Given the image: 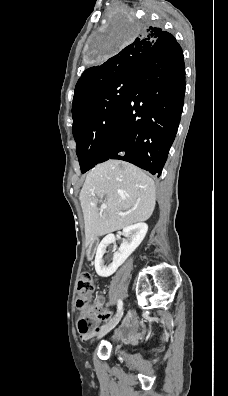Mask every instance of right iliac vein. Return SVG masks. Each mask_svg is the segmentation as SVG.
I'll return each instance as SVG.
<instances>
[{
    "label": "right iliac vein",
    "mask_w": 228,
    "mask_h": 396,
    "mask_svg": "<svg viewBox=\"0 0 228 396\" xmlns=\"http://www.w3.org/2000/svg\"><path fill=\"white\" fill-rule=\"evenodd\" d=\"M123 315V310L121 309V311L119 312L118 316L108 325L104 326L98 333L97 338H101L104 335H106L109 331H111L120 321L121 317Z\"/></svg>",
    "instance_id": "63e3f726"
}]
</instances>
